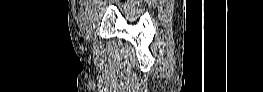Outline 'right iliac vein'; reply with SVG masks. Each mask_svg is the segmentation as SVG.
I'll return each instance as SVG.
<instances>
[{
  "instance_id": "obj_1",
  "label": "right iliac vein",
  "mask_w": 263,
  "mask_h": 92,
  "mask_svg": "<svg viewBox=\"0 0 263 92\" xmlns=\"http://www.w3.org/2000/svg\"><path fill=\"white\" fill-rule=\"evenodd\" d=\"M90 18H91V15H89V19ZM91 40H92V29L89 28L88 26V29L86 30V41L90 43Z\"/></svg>"
}]
</instances>
